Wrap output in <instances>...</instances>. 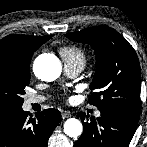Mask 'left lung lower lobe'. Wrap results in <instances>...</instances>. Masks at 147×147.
I'll use <instances>...</instances> for the list:
<instances>
[{
  "label": "left lung lower lobe",
  "instance_id": "1",
  "mask_svg": "<svg viewBox=\"0 0 147 147\" xmlns=\"http://www.w3.org/2000/svg\"><path fill=\"white\" fill-rule=\"evenodd\" d=\"M100 112L101 116L97 119L91 117L90 122H84L85 113L77 114L84 130L74 147H128L138 123L116 112Z\"/></svg>",
  "mask_w": 147,
  "mask_h": 147
}]
</instances>
